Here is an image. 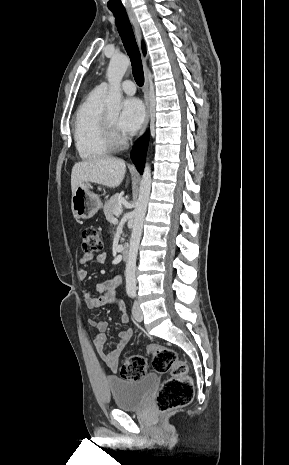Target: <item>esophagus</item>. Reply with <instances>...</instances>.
Here are the masks:
<instances>
[{
    "mask_svg": "<svg viewBox=\"0 0 289 465\" xmlns=\"http://www.w3.org/2000/svg\"><path fill=\"white\" fill-rule=\"evenodd\" d=\"M127 14L129 16V19L133 25L134 32L136 39L140 45L141 43V31L140 27L136 18V15L133 11L132 8H127ZM142 62H143V68H144V86H143V92H144V103H145V109H146V115H145V120L142 125L139 137L144 134V132L147 129L149 119H150V104H149V94H148V85H149V78H148V67H147V59L146 57H142Z\"/></svg>",
    "mask_w": 289,
    "mask_h": 465,
    "instance_id": "esophagus-1",
    "label": "esophagus"
}]
</instances>
